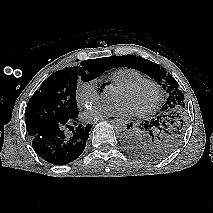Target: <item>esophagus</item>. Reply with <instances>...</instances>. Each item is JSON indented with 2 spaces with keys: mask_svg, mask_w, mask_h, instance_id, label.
Wrapping results in <instances>:
<instances>
[{
  "mask_svg": "<svg viewBox=\"0 0 213 213\" xmlns=\"http://www.w3.org/2000/svg\"><path fill=\"white\" fill-rule=\"evenodd\" d=\"M117 119H118V116H109V117L100 118L98 120L114 121V120H117Z\"/></svg>",
  "mask_w": 213,
  "mask_h": 213,
  "instance_id": "esophagus-1",
  "label": "esophagus"
}]
</instances>
